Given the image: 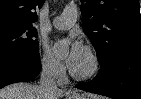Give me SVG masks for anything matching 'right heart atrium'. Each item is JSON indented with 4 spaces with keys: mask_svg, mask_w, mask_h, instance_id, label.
<instances>
[{
    "mask_svg": "<svg viewBox=\"0 0 141 99\" xmlns=\"http://www.w3.org/2000/svg\"><path fill=\"white\" fill-rule=\"evenodd\" d=\"M39 60L44 74L54 79H59L63 76L64 66L61 60L48 47L42 46L40 48Z\"/></svg>",
    "mask_w": 141,
    "mask_h": 99,
    "instance_id": "obj_1",
    "label": "right heart atrium"
}]
</instances>
